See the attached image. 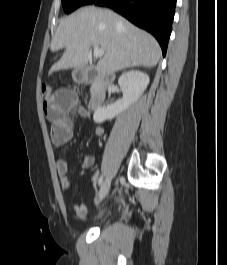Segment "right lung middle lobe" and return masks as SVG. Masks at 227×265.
I'll return each instance as SVG.
<instances>
[{
    "mask_svg": "<svg viewBox=\"0 0 227 265\" xmlns=\"http://www.w3.org/2000/svg\"><path fill=\"white\" fill-rule=\"evenodd\" d=\"M94 0H62L64 11L68 14L80 6L92 4Z\"/></svg>",
    "mask_w": 227,
    "mask_h": 265,
    "instance_id": "dd1d6c3e",
    "label": "right lung middle lobe"
}]
</instances>
